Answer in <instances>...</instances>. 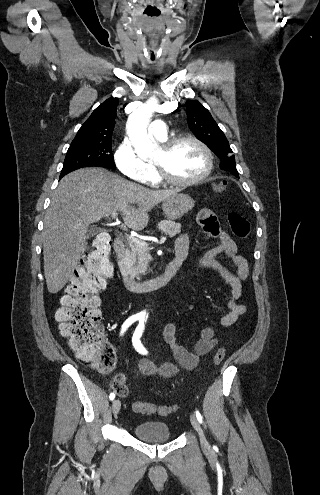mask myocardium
<instances>
[{
  "label": "myocardium",
  "mask_w": 320,
  "mask_h": 495,
  "mask_svg": "<svg viewBox=\"0 0 320 495\" xmlns=\"http://www.w3.org/2000/svg\"><path fill=\"white\" fill-rule=\"evenodd\" d=\"M183 142H192V143L196 144L202 150L203 154L205 155L207 165H206L205 171L201 175H199L198 177H195V178H191V179H179V178L172 176L167 171V169L165 168V166L163 164L154 162L153 163L154 167H155L160 179L163 180L164 182L169 183V184L176 185V186H193V185L200 184V183L204 182L211 175V173L213 171V167H214L213 154L205 143H203L200 139H198L197 137L192 136V135H182V136H177V137L171 138L170 140L163 143L161 149L164 151V153L168 154L177 145H179L180 143H183Z\"/></svg>",
  "instance_id": "1"
}]
</instances>
